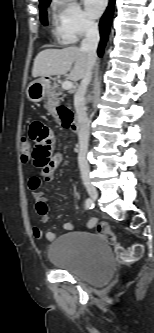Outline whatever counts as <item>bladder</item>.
Returning a JSON list of instances; mask_svg holds the SVG:
<instances>
[{
  "label": "bladder",
  "instance_id": "1",
  "mask_svg": "<svg viewBox=\"0 0 154 333\" xmlns=\"http://www.w3.org/2000/svg\"><path fill=\"white\" fill-rule=\"evenodd\" d=\"M47 258L59 269L92 281L106 282L113 272L109 243L89 230L60 235L49 245Z\"/></svg>",
  "mask_w": 154,
  "mask_h": 333
}]
</instances>
